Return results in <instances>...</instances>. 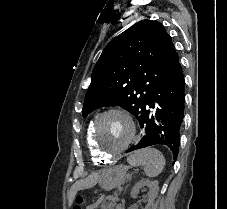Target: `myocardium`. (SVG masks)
I'll use <instances>...</instances> for the list:
<instances>
[{
  "label": "myocardium",
  "mask_w": 227,
  "mask_h": 209,
  "mask_svg": "<svg viewBox=\"0 0 227 209\" xmlns=\"http://www.w3.org/2000/svg\"><path fill=\"white\" fill-rule=\"evenodd\" d=\"M112 113L121 114L128 120V122L131 126V135H130V138L128 139V141L124 145H122L120 148L113 150V151H107L100 145V143L98 141V128H99V125H100L101 121L103 120V118ZM136 135H137V128H136V124H135L134 120L132 119L131 115L127 111H125L121 108H109V109L103 111L102 113H100L94 120V123L92 126V132H91L92 142H93L95 149L97 150L99 155H101L102 157H105V158H114V157L120 155L123 151H125L127 149V147L130 145L131 141L133 140V138H135Z\"/></svg>",
  "instance_id": "1"
}]
</instances>
